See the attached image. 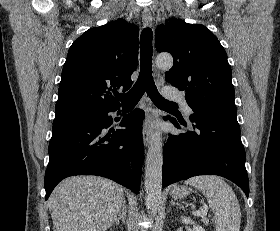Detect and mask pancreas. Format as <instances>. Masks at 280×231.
<instances>
[{"label":"pancreas","mask_w":280,"mask_h":231,"mask_svg":"<svg viewBox=\"0 0 280 231\" xmlns=\"http://www.w3.org/2000/svg\"><path fill=\"white\" fill-rule=\"evenodd\" d=\"M201 221H203V223H205V225H208V223H209L208 217H202Z\"/></svg>","instance_id":"obj_1"}]
</instances>
